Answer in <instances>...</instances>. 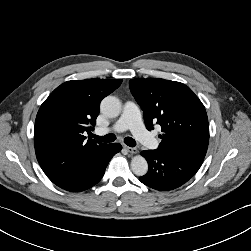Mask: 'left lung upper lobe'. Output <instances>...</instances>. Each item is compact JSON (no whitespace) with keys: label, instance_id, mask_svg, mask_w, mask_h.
<instances>
[{"label":"left lung upper lobe","instance_id":"5c2ea615","mask_svg":"<svg viewBox=\"0 0 251 251\" xmlns=\"http://www.w3.org/2000/svg\"><path fill=\"white\" fill-rule=\"evenodd\" d=\"M130 91L143 110L148 130L162 128L158 151L187 154L203 160L209 143L204 105L185 84L159 78L131 79Z\"/></svg>","mask_w":251,"mask_h":251}]
</instances>
